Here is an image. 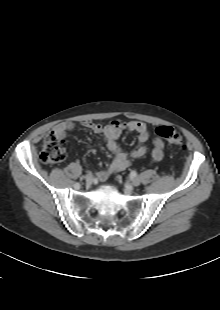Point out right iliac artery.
I'll return each instance as SVG.
<instances>
[{"label":"right iliac artery","mask_w":220,"mask_h":310,"mask_svg":"<svg viewBox=\"0 0 220 310\" xmlns=\"http://www.w3.org/2000/svg\"><path fill=\"white\" fill-rule=\"evenodd\" d=\"M74 187L76 188V189H79L80 188V183H75V185H74Z\"/></svg>","instance_id":"82829eb1"}]
</instances>
